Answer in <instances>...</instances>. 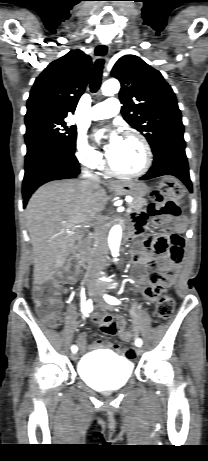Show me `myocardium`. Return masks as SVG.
Returning <instances> with one entry per match:
<instances>
[{
    "label": "myocardium",
    "mask_w": 208,
    "mask_h": 461,
    "mask_svg": "<svg viewBox=\"0 0 208 461\" xmlns=\"http://www.w3.org/2000/svg\"><path fill=\"white\" fill-rule=\"evenodd\" d=\"M123 137H134L137 140H139V142L141 143L142 148L144 150V154H145V161H144V164H143L142 168L140 170L136 171V172H133V173L121 172V171L114 168V166L112 165V163L110 161L109 156H107V158H106V168H107L109 173H111L112 175H115L117 177H121V178H138V177H141V176H143L144 174H146L149 171V169L151 168L152 162H153V154H152L151 146H150L148 140L146 139V137L143 134H141L140 132L135 131V130H128V131L124 132Z\"/></svg>",
    "instance_id": "1"
}]
</instances>
